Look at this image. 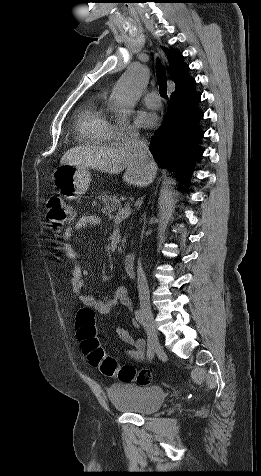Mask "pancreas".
Listing matches in <instances>:
<instances>
[{"label": "pancreas", "instance_id": "cf45deb5", "mask_svg": "<svg viewBox=\"0 0 261 476\" xmlns=\"http://www.w3.org/2000/svg\"><path fill=\"white\" fill-rule=\"evenodd\" d=\"M98 198L102 202L103 210L106 213H113V212H115L117 210H120L122 208L121 201H120V199H118L117 196H111V195H108V194L105 193V194L99 196ZM125 242H126V239H123L122 240V246L123 247H124Z\"/></svg>", "mask_w": 261, "mask_h": 476}]
</instances>
